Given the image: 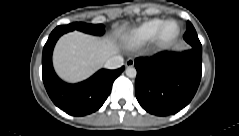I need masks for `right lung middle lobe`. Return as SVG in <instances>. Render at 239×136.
Here are the masks:
<instances>
[{
    "label": "right lung middle lobe",
    "mask_w": 239,
    "mask_h": 136,
    "mask_svg": "<svg viewBox=\"0 0 239 136\" xmlns=\"http://www.w3.org/2000/svg\"><path fill=\"white\" fill-rule=\"evenodd\" d=\"M57 28L59 30H62L63 33L70 32L73 30H79L88 34L103 35L105 32L104 25L102 24L92 25V24L82 23V22L62 25V26H58Z\"/></svg>",
    "instance_id": "1"
}]
</instances>
